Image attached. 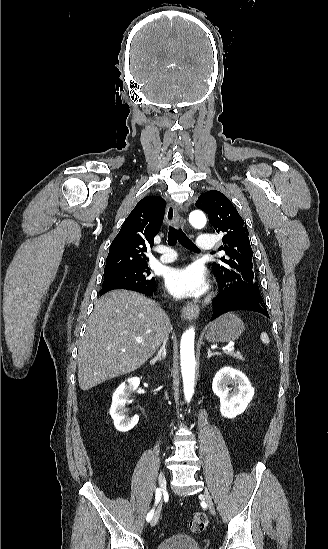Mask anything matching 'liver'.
Wrapping results in <instances>:
<instances>
[{
  "label": "liver",
  "mask_w": 328,
  "mask_h": 549,
  "mask_svg": "<svg viewBox=\"0 0 328 549\" xmlns=\"http://www.w3.org/2000/svg\"><path fill=\"white\" fill-rule=\"evenodd\" d=\"M171 331L165 311L153 299L123 289L100 297L79 347L80 389L89 391L136 371L168 341ZM139 337L142 343H136Z\"/></svg>",
  "instance_id": "obj_1"
}]
</instances>
